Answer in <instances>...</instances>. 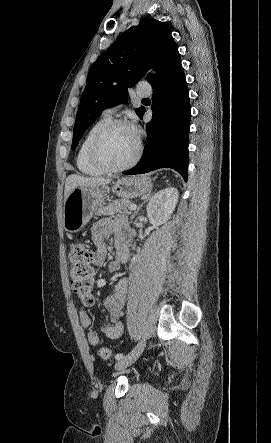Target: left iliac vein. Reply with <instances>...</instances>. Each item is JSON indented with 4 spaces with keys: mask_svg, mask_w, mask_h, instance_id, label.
Wrapping results in <instances>:
<instances>
[{
    "mask_svg": "<svg viewBox=\"0 0 271 443\" xmlns=\"http://www.w3.org/2000/svg\"><path fill=\"white\" fill-rule=\"evenodd\" d=\"M146 346L145 340L139 342L130 353H128L123 359H120L115 364L116 370H122L131 364H133L139 356L142 354L144 348Z\"/></svg>",
    "mask_w": 271,
    "mask_h": 443,
    "instance_id": "4c4485c4",
    "label": "left iliac vein"
}]
</instances>
